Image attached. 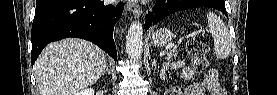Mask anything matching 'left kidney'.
I'll return each mask as SVG.
<instances>
[{
    "mask_svg": "<svg viewBox=\"0 0 277 95\" xmlns=\"http://www.w3.org/2000/svg\"><path fill=\"white\" fill-rule=\"evenodd\" d=\"M160 78H161L162 80H165V68H163V69L161 70V72H160Z\"/></svg>",
    "mask_w": 277,
    "mask_h": 95,
    "instance_id": "left-kidney-1",
    "label": "left kidney"
}]
</instances>
